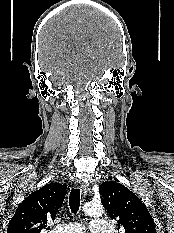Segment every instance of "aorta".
Instances as JSON below:
<instances>
[{
  "label": "aorta",
  "mask_w": 174,
  "mask_h": 233,
  "mask_svg": "<svg viewBox=\"0 0 174 233\" xmlns=\"http://www.w3.org/2000/svg\"><path fill=\"white\" fill-rule=\"evenodd\" d=\"M84 212L90 217L102 216L104 210L100 204L88 203L84 206Z\"/></svg>",
  "instance_id": "762f6f07"
}]
</instances>
